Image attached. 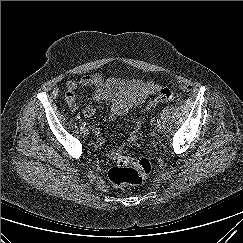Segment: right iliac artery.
Here are the masks:
<instances>
[{
	"mask_svg": "<svg viewBox=\"0 0 243 243\" xmlns=\"http://www.w3.org/2000/svg\"><path fill=\"white\" fill-rule=\"evenodd\" d=\"M80 125H81V126H85L86 123H85V122H81Z\"/></svg>",
	"mask_w": 243,
	"mask_h": 243,
	"instance_id": "obj_1",
	"label": "right iliac artery"
}]
</instances>
